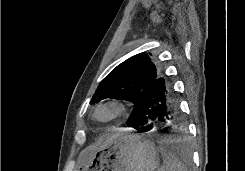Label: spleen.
Instances as JSON below:
<instances>
[{"mask_svg": "<svg viewBox=\"0 0 245 171\" xmlns=\"http://www.w3.org/2000/svg\"><path fill=\"white\" fill-rule=\"evenodd\" d=\"M163 165L158 171H188L186 166L171 152L161 149Z\"/></svg>", "mask_w": 245, "mask_h": 171, "instance_id": "3e777b00", "label": "spleen"}]
</instances>
